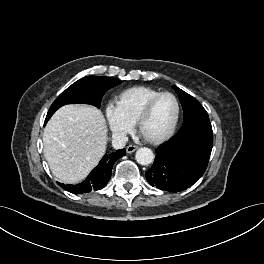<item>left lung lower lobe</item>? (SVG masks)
I'll use <instances>...</instances> for the list:
<instances>
[{"mask_svg": "<svg viewBox=\"0 0 264 264\" xmlns=\"http://www.w3.org/2000/svg\"><path fill=\"white\" fill-rule=\"evenodd\" d=\"M213 147L211 123L179 131L156 150L145 176L158 189L179 192L192 186L204 174Z\"/></svg>", "mask_w": 264, "mask_h": 264, "instance_id": "left-lung-lower-lobe-1", "label": "left lung lower lobe"}]
</instances>
